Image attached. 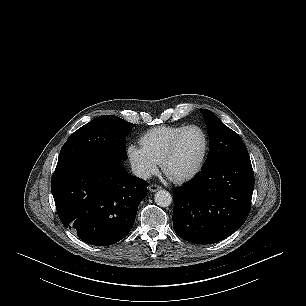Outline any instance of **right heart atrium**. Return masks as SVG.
I'll return each instance as SVG.
<instances>
[{
	"instance_id": "right-heart-atrium-1",
	"label": "right heart atrium",
	"mask_w": 306,
	"mask_h": 306,
	"mask_svg": "<svg viewBox=\"0 0 306 306\" xmlns=\"http://www.w3.org/2000/svg\"><path fill=\"white\" fill-rule=\"evenodd\" d=\"M133 172L142 179H147L158 169L159 163L142 147L130 144L126 150Z\"/></svg>"
}]
</instances>
